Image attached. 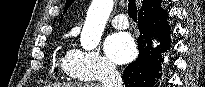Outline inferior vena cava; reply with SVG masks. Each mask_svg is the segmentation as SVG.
<instances>
[{"instance_id": "1", "label": "inferior vena cava", "mask_w": 205, "mask_h": 87, "mask_svg": "<svg viewBox=\"0 0 205 87\" xmlns=\"http://www.w3.org/2000/svg\"><path fill=\"white\" fill-rule=\"evenodd\" d=\"M102 83L104 87H122V78L116 67L108 63L103 68Z\"/></svg>"}]
</instances>
